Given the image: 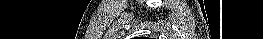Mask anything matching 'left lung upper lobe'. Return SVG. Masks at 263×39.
<instances>
[{"label": "left lung upper lobe", "mask_w": 263, "mask_h": 39, "mask_svg": "<svg viewBox=\"0 0 263 39\" xmlns=\"http://www.w3.org/2000/svg\"><path fill=\"white\" fill-rule=\"evenodd\" d=\"M134 39H150V38H145V37H137V38H134Z\"/></svg>", "instance_id": "1"}]
</instances>
